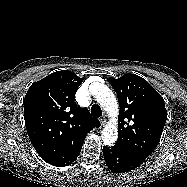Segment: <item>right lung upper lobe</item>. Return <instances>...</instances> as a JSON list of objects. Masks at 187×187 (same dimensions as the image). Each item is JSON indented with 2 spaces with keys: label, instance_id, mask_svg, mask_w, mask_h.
<instances>
[{
  "label": "right lung upper lobe",
  "instance_id": "right-lung-upper-lobe-1",
  "mask_svg": "<svg viewBox=\"0 0 187 187\" xmlns=\"http://www.w3.org/2000/svg\"><path fill=\"white\" fill-rule=\"evenodd\" d=\"M83 78L69 70L54 72L33 83L24 98L27 133L40 157L53 166L71 164L85 136L98 119L75 102Z\"/></svg>",
  "mask_w": 187,
  "mask_h": 187
}]
</instances>
